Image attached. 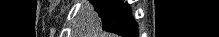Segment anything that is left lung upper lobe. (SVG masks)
Segmentation results:
<instances>
[{
    "label": "left lung upper lobe",
    "mask_w": 219,
    "mask_h": 37,
    "mask_svg": "<svg viewBox=\"0 0 219 37\" xmlns=\"http://www.w3.org/2000/svg\"><path fill=\"white\" fill-rule=\"evenodd\" d=\"M102 21L103 30H106L115 20L123 4V0H90Z\"/></svg>",
    "instance_id": "left-lung-upper-lobe-1"
}]
</instances>
